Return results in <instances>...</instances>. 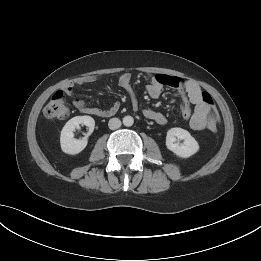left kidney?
<instances>
[{
	"label": "left kidney",
	"mask_w": 261,
	"mask_h": 261,
	"mask_svg": "<svg viewBox=\"0 0 261 261\" xmlns=\"http://www.w3.org/2000/svg\"><path fill=\"white\" fill-rule=\"evenodd\" d=\"M179 139L183 140L182 144L177 142ZM166 146L170 151L181 158H188L199 150V144L195 138L192 137L187 130L178 127L168 130Z\"/></svg>",
	"instance_id": "5707ae66"
}]
</instances>
